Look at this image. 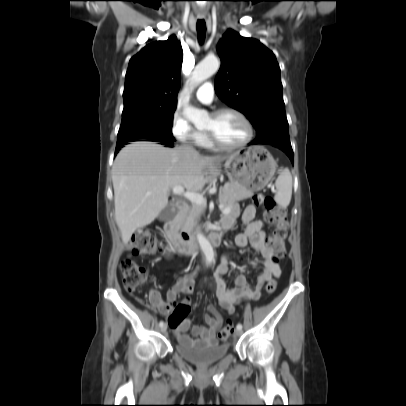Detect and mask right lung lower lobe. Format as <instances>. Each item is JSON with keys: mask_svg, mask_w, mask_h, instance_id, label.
Returning a JSON list of instances; mask_svg holds the SVG:
<instances>
[{"mask_svg": "<svg viewBox=\"0 0 406 406\" xmlns=\"http://www.w3.org/2000/svg\"><path fill=\"white\" fill-rule=\"evenodd\" d=\"M160 142H161V144L166 145L167 147H173V143H174V141H171V140H164V141H160ZM122 147H124V145L116 146L115 155L118 153V151Z\"/></svg>", "mask_w": 406, "mask_h": 406, "instance_id": "right-lung-lower-lobe-1", "label": "right lung lower lobe"}]
</instances>
